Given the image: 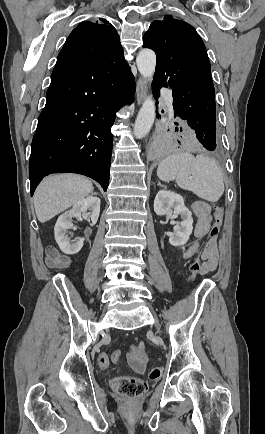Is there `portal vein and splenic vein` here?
I'll use <instances>...</instances> for the list:
<instances>
[{"label":"portal vein and splenic vein","instance_id":"obj_1","mask_svg":"<svg viewBox=\"0 0 265 434\" xmlns=\"http://www.w3.org/2000/svg\"><path fill=\"white\" fill-rule=\"evenodd\" d=\"M189 180H192L191 176H190Z\"/></svg>","mask_w":265,"mask_h":434}]
</instances>
